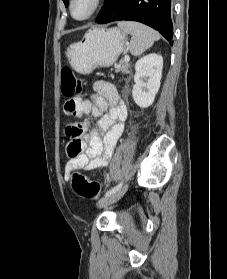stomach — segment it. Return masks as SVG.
<instances>
[{
    "instance_id": "0dacf381",
    "label": "stomach",
    "mask_w": 227,
    "mask_h": 279,
    "mask_svg": "<svg viewBox=\"0 0 227 279\" xmlns=\"http://www.w3.org/2000/svg\"><path fill=\"white\" fill-rule=\"evenodd\" d=\"M126 45V34L120 29L92 28L82 41L67 47L66 57L75 71L89 74L95 68L112 66Z\"/></svg>"
}]
</instances>
